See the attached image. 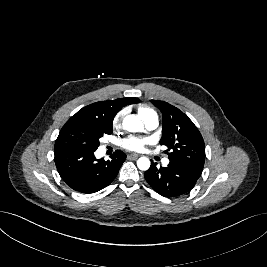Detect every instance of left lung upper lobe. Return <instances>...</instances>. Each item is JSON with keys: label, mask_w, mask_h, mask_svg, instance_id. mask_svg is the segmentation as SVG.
<instances>
[{"label": "left lung upper lobe", "mask_w": 267, "mask_h": 267, "mask_svg": "<svg viewBox=\"0 0 267 267\" xmlns=\"http://www.w3.org/2000/svg\"><path fill=\"white\" fill-rule=\"evenodd\" d=\"M163 116L161 145H166L170 161L203 169L205 144L194 123L178 108L164 101L152 100Z\"/></svg>", "instance_id": "obj_1"}]
</instances>
